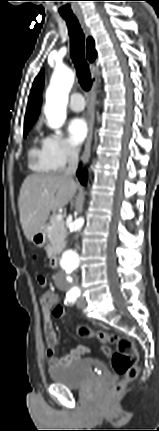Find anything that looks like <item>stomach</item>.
I'll list each match as a JSON object with an SVG mask.
<instances>
[{"label":"stomach","instance_id":"0dacf381","mask_svg":"<svg viewBox=\"0 0 159 431\" xmlns=\"http://www.w3.org/2000/svg\"><path fill=\"white\" fill-rule=\"evenodd\" d=\"M37 247H42L44 246L45 242H46V234L43 230H41L40 232L36 233L31 240Z\"/></svg>","mask_w":159,"mask_h":431}]
</instances>
